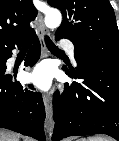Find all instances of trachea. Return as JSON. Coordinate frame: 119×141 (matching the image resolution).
<instances>
[{"instance_id": "trachea-1", "label": "trachea", "mask_w": 119, "mask_h": 141, "mask_svg": "<svg viewBox=\"0 0 119 141\" xmlns=\"http://www.w3.org/2000/svg\"><path fill=\"white\" fill-rule=\"evenodd\" d=\"M45 43L50 51L58 53L63 52L51 41V39L48 36L45 37ZM28 47L29 45H26L23 49H28Z\"/></svg>"}]
</instances>
